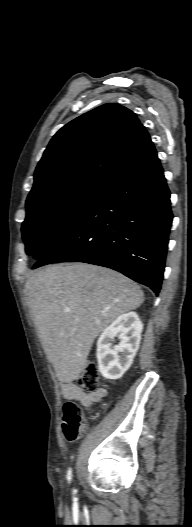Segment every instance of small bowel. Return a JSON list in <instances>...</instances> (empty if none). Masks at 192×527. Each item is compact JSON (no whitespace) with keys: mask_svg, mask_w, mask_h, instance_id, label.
<instances>
[{"mask_svg":"<svg viewBox=\"0 0 192 527\" xmlns=\"http://www.w3.org/2000/svg\"><path fill=\"white\" fill-rule=\"evenodd\" d=\"M63 393L66 397L75 399L84 406H90L94 403L100 402L107 394L104 389H99L94 392H86L73 383L64 384Z\"/></svg>","mask_w":192,"mask_h":527,"instance_id":"c3829d8e","label":"small bowel"}]
</instances>
